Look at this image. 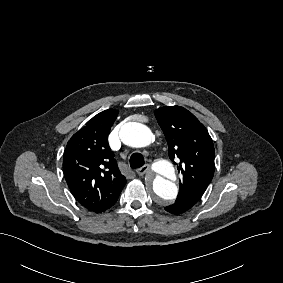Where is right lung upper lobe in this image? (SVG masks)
Segmentation results:
<instances>
[{
  "label": "right lung upper lobe",
  "mask_w": 283,
  "mask_h": 283,
  "mask_svg": "<svg viewBox=\"0 0 283 283\" xmlns=\"http://www.w3.org/2000/svg\"><path fill=\"white\" fill-rule=\"evenodd\" d=\"M117 115L116 110L108 109L94 116L72 136L64 151L63 171L68 187L90 211L109 209L126 184L107 137Z\"/></svg>",
  "instance_id": "1"
}]
</instances>
